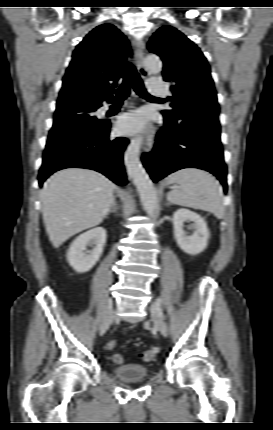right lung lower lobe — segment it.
<instances>
[{
  "instance_id": "1",
  "label": "right lung lower lobe",
  "mask_w": 273,
  "mask_h": 430,
  "mask_svg": "<svg viewBox=\"0 0 273 430\" xmlns=\"http://www.w3.org/2000/svg\"><path fill=\"white\" fill-rule=\"evenodd\" d=\"M110 128V122H105L91 133L47 143L39 170V185L53 172L70 167L93 169L116 184L125 185L123 152L128 140L108 139Z\"/></svg>"
}]
</instances>
